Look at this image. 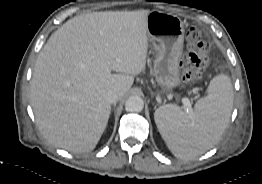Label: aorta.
<instances>
[{"mask_svg": "<svg viewBox=\"0 0 262 184\" xmlns=\"http://www.w3.org/2000/svg\"><path fill=\"white\" fill-rule=\"evenodd\" d=\"M143 107V99L136 95L130 96L125 102V109L128 112H141Z\"/></svg>", "mask_w": 262, "mask_h": 184, "instance_id": "762f6f07", "label": "aorta"}]
</instances>
